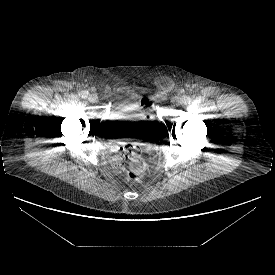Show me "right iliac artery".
I'll list each match as a JSON object with an SVG mask.
<instances>
[{"instance_id":"82829eb1","label":"right iliac artery","mask_w":275,"mask_h":275,"mask_svg":"<svg viewBox=\"0 0 275 275\" xmlns=\"http://www.w3.org/2000/svg\"><path fill=\"white\" fill-rule=\"evenodd\" d=\"M80 96L82 97V98H87L88 97V91H82L81 93H80Z\"/></svg>"}]
</instances>
